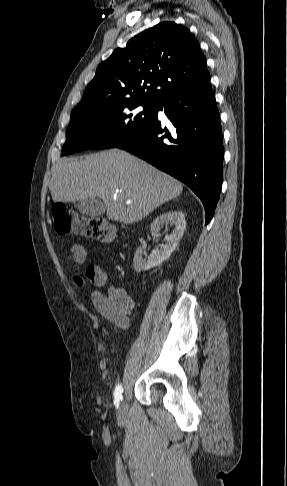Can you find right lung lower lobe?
Instances as JSON below:
<instances>
[{
    "label": "right lung lower lobe",
    "mask_w": 287,
    "mask_h": 486,
    "mask_svg": "<svg viewBox=\"0 0 287 486\" xmlns=\"http://www.w3.org/2000/svg\"><path fill=\"white\" fill-rule=\"evenodd\" d=\"M158 114L136 135L116 145L185 183L201 199L206 224L214 215L223 180L222 131L215 94L208 82L158 103Z\"/></svg>",
    "instance_id": "obj_1"
}]
</instances>
